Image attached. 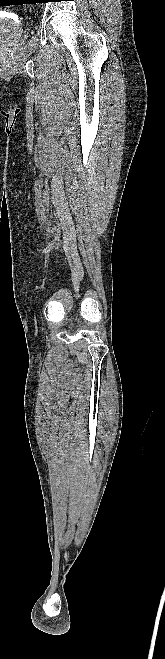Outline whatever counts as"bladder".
<instances>
[{"instance_id":"bladder-1","label":"bladder","mask_w":165,"mask_h":659,"mask_svg":"<svg viewBox=\"0 0 165 659\" xmlns=\"http://www.w3.org/2000/svg\"><path fill=\"white\" fill-rule=\"evenodd\" d=\"M4 30H5L4 24L0 23V33L3 32Z\"/></svg>"}]
</instances>
